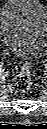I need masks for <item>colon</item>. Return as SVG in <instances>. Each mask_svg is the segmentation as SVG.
Instances as JSON below:
<instances>
[{
  "label": "colon",
  "mask_w": 47,
  "mask_h": 129,
  "mask_svg": "<svg viewBox=\"0 0 47 129\" xmlns=\"http://www.w3.org/2000/svg\"><path fill=\"white\" fill-rule=\"evenodd\" d=\"M32 86L31 69L29 62H25L20 71L12 80V87L17 92H27Z\"/></svg>",
  "instance_id": "colon-1"
}]
</instances>
